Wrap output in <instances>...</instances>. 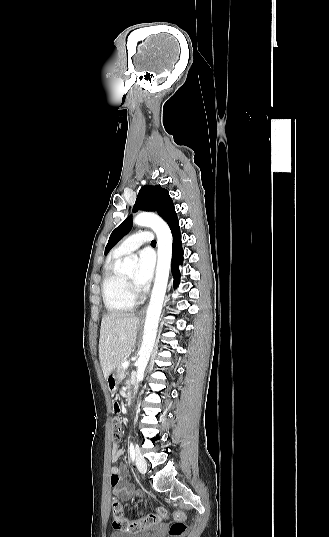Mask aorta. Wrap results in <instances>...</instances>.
<instances>
[{"label": "aorta", "instance_id": "obj_1", "mask_svg": "<svg viewBox=\"0 0 329 537\" xmlns=\"http://www.w3.org/2000/svg\"><path fill=\"white\" fill-rule=\"evenodd\" d=\"M133 222L138 226L151 227L157 235L158 246L155 282L147 309L139 358L136 361V382L138 383L144 376L155 343L159 317L163 306L171 266L172 235L168 225L160 217L154 214L140 213L134 218ZM136 263L137 257H125L121 265V270L123 272H132ZM136 390L137 388L135 387V391Z\"/></svg>", "mask_w": 329, "mask_h": 537}]
</instances>
